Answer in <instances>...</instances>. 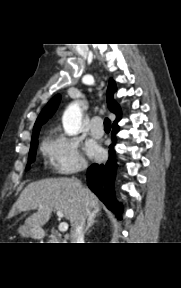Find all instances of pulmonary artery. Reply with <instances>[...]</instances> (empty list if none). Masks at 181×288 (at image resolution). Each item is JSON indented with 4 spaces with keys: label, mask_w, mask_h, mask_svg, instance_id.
<instances>
[{
    "label": "pulmonary artery",
    "mask_w": 181,
    "mask_h": 288,
    "mask_svg": "<svg viewBox=\"0 0 181 288\" xmlns=\"http://www.w3.org/2000/svg\"><path fill=\"white\" fill-rule=\"evenodd\" d=\"M89 128H90L91 135L96 138L101 137L104 133L101 119L97 116L92 119Z\"/></svg>",
    "instance_id": "obj_1"
}]
</instances>
